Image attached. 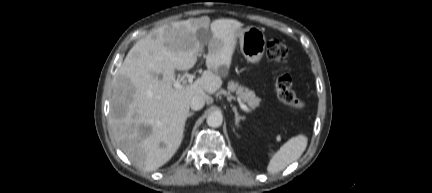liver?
<instances>
[{
	"mask_svg": "<svg viewBox=\"0 0 432 193\" xmlns=\"http://www.w3.org/2000/svg\"><path fill=\"white\" fill-rule=\"evenodd\" d=\"M242 26L234 19L210 23L209 17L172 22L130 49L113 78L109 124L118 147L136 166L156 170L176 153L192 97L198 94L212 102L209 95L222 85L217 72L230 67L236 32ZM209 29L207 70L192 84L174 88L175 71L196 64ZM142 128L147 129L145 134Z\"/></svg>",
	"mask_w": 432,
	"mask_h": 193,
	"instance_id": "6515ba94",
	"label": "liver"
}]
</instances>
